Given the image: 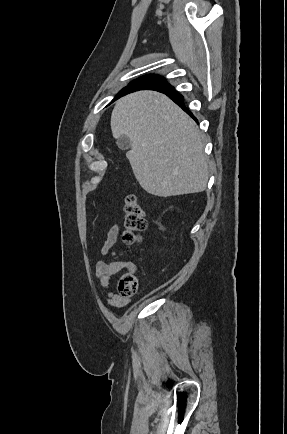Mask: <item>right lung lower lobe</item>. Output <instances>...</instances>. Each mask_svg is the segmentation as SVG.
Wrapping results in <instances>:
<instances>
[{"label": "right lung lower lobe", "mask_w": 287, "mask_h": 434, "mask_svg": "<svg viewBox=\"0 0 287 434\" xmlns=\"http://www.w3.org/2000/svg\"><path fill=\"white\" fill-rule=\"evenodd\" d=\"M157 91L162 92L167 96H169L176 104H178L184 111H186L189 115L193 117L192 113L189 112V110L185 107L183 103V96L180 95L177 91H175L173 86L168 84L165 86L164 89L157 90Z\"/></svg>", "instance_id": "98d812e1"}]
</instances>
